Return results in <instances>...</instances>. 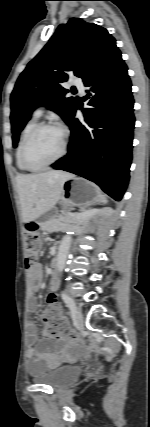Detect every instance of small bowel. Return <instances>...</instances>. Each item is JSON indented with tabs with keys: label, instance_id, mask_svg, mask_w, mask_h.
<instances>
[{
	"label": "small bowel",
	"instance_id": "1",
	"mask_svg": "<svg viewBox=\"0 0 150 427\" xmlns=\"http://www.w3.org/2000/svg\"><path fill=\"white\" fill-rule=\"evenodd\" d=\"M29 281L34 291L43 287V270L40 264L35 265L29 271ZM59 286L57 278L50 283L51 292L54 293ZM37 302L32 300L30 309H37ZM28 359L27 369L31 375H38L48 369H53L64 362H68L81 351V344L76 338H59L53 340L47 332L41 339L38 337V326L34 320H30L26 326Z\"/></svg>",
	"mask_w": 150,
	"mask_h": 427
}]
</instances>
